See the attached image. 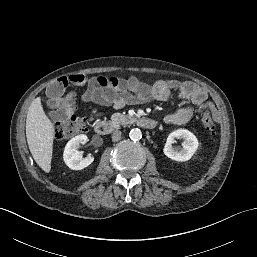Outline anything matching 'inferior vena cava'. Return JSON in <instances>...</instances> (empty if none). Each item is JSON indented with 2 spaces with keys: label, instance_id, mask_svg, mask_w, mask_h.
Masks as SVG:
<instances>
[{
  "label": "inferior vena cava",
  "instance_id": "1",
  "mask_svg": "<svg viewBox=\"0 0 257 257\" xmlns=\"http://www.w3.org/2000/svg\"><path fill=\"white\" fill-rule=\"evenodd\" d=\"M120 138H121V131L115 130V131L112 133V141H119Z\"/></svg>",
  "mask_w": 257,
  "mask_h": 257
}]
</instances>
